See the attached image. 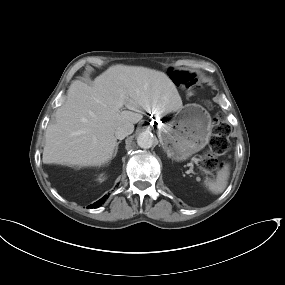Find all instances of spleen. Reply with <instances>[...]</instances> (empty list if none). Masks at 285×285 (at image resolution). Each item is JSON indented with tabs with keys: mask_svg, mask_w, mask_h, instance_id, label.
Listing matches in <instances>:
<instances>
[{
	"mask_svg": "<svg viewBox=\"0 0 285 285\" xmlns=\"http://www.w3.org/2000/svg\"><path fill=\"white\" fill-rule=\"evenodd\" d=\"M228 178L229 168L225 166L218 172L215 180H206L205 185L213 194H220L227 187Z\"/></svg>",
	"mask_w": 285,
	"mask_h": 285,
	"instance_id": "spleen-1",
	"label": "spleen"
}]
</instances>
